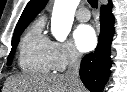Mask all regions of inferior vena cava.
Returning <instances> with one entry per match:
<instances>
[{
	"label": "inferior vena cava",
	"mask_w": 127,
	"mask_h": 92,
	"mask_svg": "<svg viewBox=\"0 0 127 92\" xmlns=\"http://www.w3.org/2000/svg\"><path fill=\"white\" fill-rule=\"evenodd\" d=\"M80 63H81V55L76 49H71L69 55V64L68 69L65 73V76L70 79V81L75 85L78 86L80 81L79 77V70H80Z\"/></svg>",
	"instance_id": "1"
}]
</instances>
